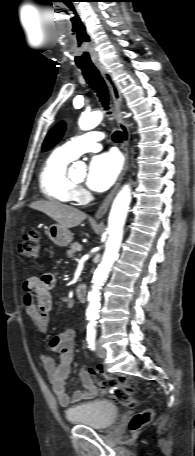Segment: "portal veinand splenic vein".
<instances>
[{"label": "portal vein and splenic vein", "mask_w": 195, "mask_h": 456, "mask_svg": "<svg viewBox=\"0 0 195 456\" xmlns=\"http://www.w3.org/2000/svg\"><path fill=\"white\" fill-rule=\"evenodd\" d=\"M81 249H82V247H81V245H79V246L77 247V250H78V251H81Z\"/></svg>", "instance_id": "obj_1"}]
</instances>
